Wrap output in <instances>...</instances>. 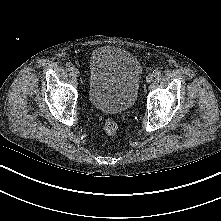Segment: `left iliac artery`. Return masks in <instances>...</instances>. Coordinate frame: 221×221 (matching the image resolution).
Listing matches in <instances>:
<instances>
[{"mask_svg": "<svg viewBox=\"0 0 221 221\" xmlns=\"http://www.w3.org/2000/svg\"><path fill=\"white\" fill-rule=\"evenodd\" d=\"M160 75H161V71H160V70L155 69V70L153 71V76H154V77H159Z\"/></svg>", "mask_w": 221, "mask_h": 221, "instance_id": "left-iliac-artery-1", "label": "left iliac artery"}]
</instances>
